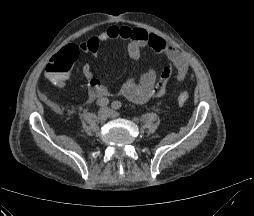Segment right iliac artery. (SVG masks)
Masks as SVG:
<instances>
[{
    "label": "right iliac artery",
    "mask_w": 254,
    "mask_h": 216,
    "mask_svg": "<svg viewBox=\"0 0 254 216\" xmlns=\"http://www.w3.org/2000/svg\"><path fill=\"white\" fill-rule=\"evenodd\" d=\"M109 104V100L107 98H102L97 100L96 105L100 107H105Z\"/></svg>",
    "instance_id": "obj_1"
}]
</instances>
